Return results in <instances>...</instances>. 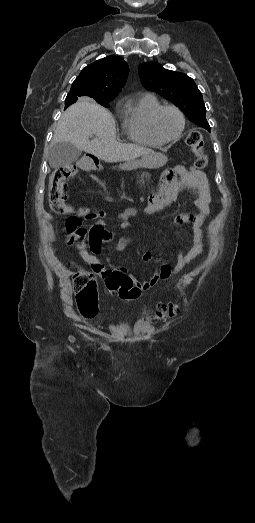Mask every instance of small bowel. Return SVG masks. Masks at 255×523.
Masks as SVG:
<instances>
[{"label":"small bowel","instance_id":"obj_1","mask_svg":"<svg viewBox=\"0 0 255 523\" xmlns=\"http://www.w3.org/2000/svg\"><path fill=\"white\" fill-rule=\"evenodd\" d=\"M176 172L181 178L180 183L177 186L168 189L163 194L152 196L146 212L148 214H154L175 201L182 192L196 189L198 195L193 199L196 211L194 213L179 214L172 222L175 227L185 223H190L192 225L193 244L187 251H178L176 255V263L174 265L162 263L154 270L149 279L135 280V284L139 286L141 290L152 289L157 284L173 278L202 252L201 226L210 214L211 200L207 178L203 172L194 168L187 169L179 167ZM170 180L171 175L164 177L165 182ZM136 213L137 211L134 209H129L120 213L118 216L119 228H129L131 225L130 218ZM104 217L105 213L102 211L93 216H86V220L93 218L96 219L95 223L89 227L82 226L80 221L73 218L67 219L65 223L66 243L68 245L76 246L82 260L86 262L96 274L102 277L110 272H120L127 275L128 271L125 268H108L100 258L102 244L110 241L113 236L112 233L105 228L103 221ZM175 233L178 236L180 234L177 229L175 230ZM128 246V242L119 241L116 244L115 249L117 251H123ZM142 259L144 261H150L152 256L147 252L143 254Z\"/></svg>","mask_w":255,"mask_h":523}]
</instances>
